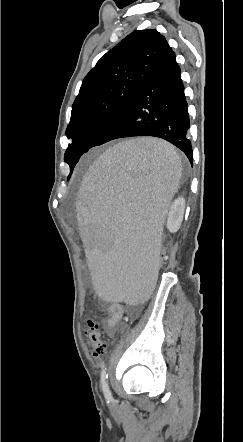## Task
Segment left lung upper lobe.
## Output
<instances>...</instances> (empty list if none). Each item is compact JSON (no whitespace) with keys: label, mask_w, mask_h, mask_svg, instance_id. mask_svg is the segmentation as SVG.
Here are the masks:
<instances>
[{"label":"left lung upper lobe","mask_w":243,"mask_h":442,"mask_svg":"<svg viewBox=\"0 0 243 442\" xmlns=\"http://www.w3.org/2000/svg\"><path fill=\"white\" fill-rule=\"evenodd\" d=\"M167 45L156 30H136L86 75L65 132L72 139L64 155L70 174L81 155L106 134Z\"/></svg>","instance_id":"1"}]
</instances>
